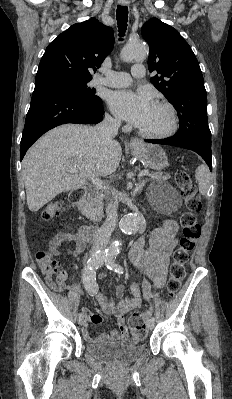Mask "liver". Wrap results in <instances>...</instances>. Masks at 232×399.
<instances>
[{
    "label": "liver",
    "mask_w": 232,
    "mask_h": 399,
    "mask_svg": "<svg viewBox=\"0 0 232 399\" xmlns=\"http://www.w3.org/2000/svg\"><path fill=\"white\" fill-rule=\"evenodd\" d=\"M121 156L119 142L105 144L96 126L66 124L50 130L28 150L22 162L30 211H38L61 192L79 190L91 176L113 174Z\"/></svg>",
    "instance_id": "6515ba94"
}]
</instances>
